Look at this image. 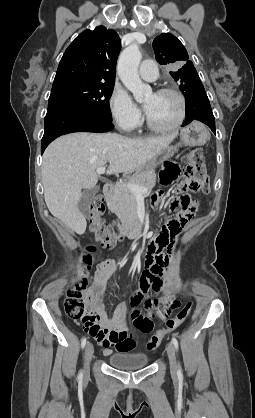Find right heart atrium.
<instances>
[{
	"label": "right heart atrium",
	"mask_w": 255,
	"mask_h": 418,
	"mask_svg": "<svg viewBox=\"0 0 255 418\" xmlns=\"http://www.w3.org/2000/svg\"><path fill=\"white\" fill-rule=\"evenodd\" d=\"M109 110L117 126L124 131H132L141 123L139 108L123 89H114L109 100Z\"/></svg>",
	"instance_id": "1"
}]
</instances>
